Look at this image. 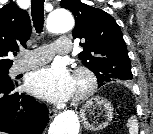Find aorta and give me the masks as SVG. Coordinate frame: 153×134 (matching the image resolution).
<instances>
[{
    "label": "aorta",
    "mask_w": 153,
    "mask_h": 134,
    "mask_svg": "<svg viewBox=\"0 0 153 134\" xmlns=\"http://www.w3.org/2000/svg\"><path fill=\"white\" fill-rule=\"evenodd\" d=\"M74 26L71 13L64 9L51 12L47 18V31L51 34L70 31ZM79 121L75 112L67 110L60 113L51 123L48 134H79Z\"/></svg>",
    "instance_id": "1"
}]
</instances>
